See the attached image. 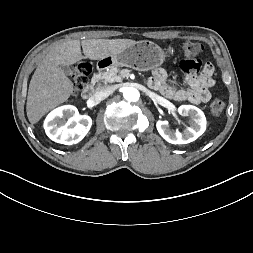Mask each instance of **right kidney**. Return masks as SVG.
Returning <instances> with one entry per match:
<instances>
[{
    "instance_id": "1",
    "label": "right kidney",
    "mask_w": 253,
    "mask_h": 253,
    "mask_svg": "<svg viewBox=\"0 0 253 253\" xmlns=\"http://www.w3.org/2000/svg\"><path fill=\"white\" fill-rule=\"evenodd\" d=\"M92 119L87 115H78L75 106L64 105L54 109L44 121L47 136L61 144L72 145L80 142L89 132Z\"/></svg>"
}]
</instances>
